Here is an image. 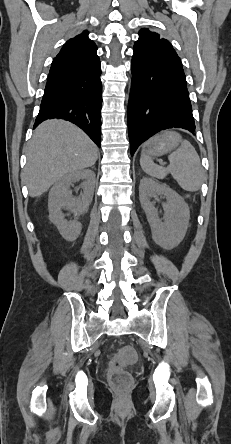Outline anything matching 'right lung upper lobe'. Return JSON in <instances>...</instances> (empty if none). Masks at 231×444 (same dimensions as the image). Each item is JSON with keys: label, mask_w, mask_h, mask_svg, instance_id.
Masks as SVG:
<instances>
[{"label": "right lung upper lobe", "mask_w": 231, "mask_h": 444, "mask_svg": "<svg viewBox=\"0 0 231 444\" xmlns=\"http://www.w3.org/2000/svg\"><path fill=\"white\" fill-rule=\"evenodd\" d=\"M97 46L88 38V32L68 40L54 58L48 80L86 73L100 66Z\"/></svg>", "instance_id": "right-lung-upper-lobe-1"}]
</instances>
